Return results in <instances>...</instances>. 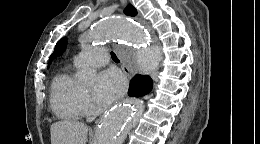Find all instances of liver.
<instances>
[{
	"label": "liver",
	"mask_w": 260,
	"mask_h": 144,
	"mask_svg": "<svg viewBox=\"0 0 260 144\" xmlns=\"http://www.w3.org/2000/svg\"><path fill=\"white\" fill-rule=\"evenodd\" d=\"M51 144H86L88 126L74 120H62L50 127Z\"/></svg>",
	"instance_id": "liver-1"
}]
</instances>
